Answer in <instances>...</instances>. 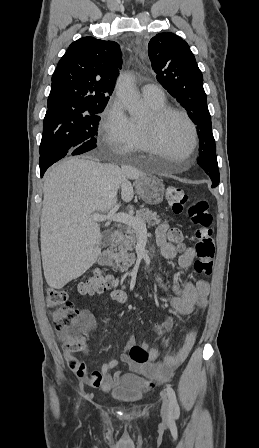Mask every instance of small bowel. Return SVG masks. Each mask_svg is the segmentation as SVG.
I'll list each match as a JSON object with an SVG mask.
<instances>
[{
	"instance_id": "obj_1",
	"label": "small bowel",
	"mask_w": 259,
	"mask_h": 448,
	"mask_svg": "<svg viewBox=\"0 0 259 448\" xmlns=\"http://www.w3.org/2000/svg\"><path fill=\"white\" fill-rule=\"evenodd\" d=\"M169 226L168 224H160L156 228L155 239L160 249V253L164 259L172 260L178 256L180 247L168 241ZM196 253L194 247L185 248L178 256V263L182 269L191 268ZM156 280L163 287L162 280L156 277ZM172 289L174 296L169 299L172 309L182 315L193 313L196 308L205 309L208 305V295L210 285L204 278H198L195 282L185 281L183 284L173 282ZM111 298L118 303H126L128 296L123 291H116L111 294ZM173 326V319L167 316L163 323L156 324L154 331L158 335L167 333ZM196 341V332L190 330L185 336L183 345L178 350L167 349L161 362H158L159 352L156 348H150L148 351L149 358L146 363L138 364L133 362L129 357V350L135 345V340L131 337L121 353V360L128 364L132 372H122L115 370L118 361L111 359L102 364L99 371L89 372L83 361L76 358L69 351L65 352V357L69 368L84 383L110 391L115 387L135 388L139 390H150L154 383L167 381L173 374L174 370L179 367L189 355ZM169 345V340L166 341Z\"/></svg>"
}]
</instances>
